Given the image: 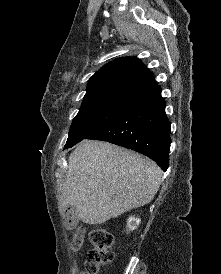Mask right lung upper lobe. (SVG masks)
<instances>
[{"label": "right lung upper lobe", "mask_w": 221, "mask_h": 274, "mask_svg": "<svg viewBox=\"0 0 221 274\" xmlns=\"http://www.w3.org/2000/svg\"><path fill=\"white\" fill-rule=\"evenodd\" d=\"M156 86V81L138 58L123 57L104 65L89 79L84 99L135 100Z\"/></svg>", "instance_id": "right-lung-upper-lobe-1"}]
</instances>
